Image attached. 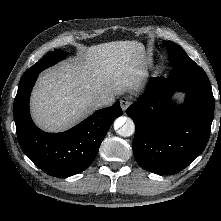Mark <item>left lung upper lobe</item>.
Listing matches in <instances>:
<instances>
[{
	"label": "left lung upper lobe",
	"instance_id": "5c2ea615",
	"mask_svg": "<svg viewBox=\"0 0 221 221\" xmlns=\"http://www.w3.org/2000/svg\"><path fill=\"white\" fill-rule=\"evenodd\" d=\"M164 46L168 49L170 64L173 69L182 67H198V65L188 57L185 51L174 42H166Z\"/></svg>",
	"mask_w": 221,
	"mask_h": 221
}]
</instances>
